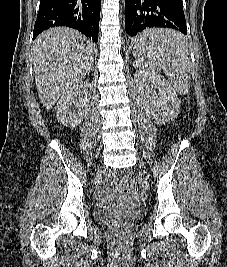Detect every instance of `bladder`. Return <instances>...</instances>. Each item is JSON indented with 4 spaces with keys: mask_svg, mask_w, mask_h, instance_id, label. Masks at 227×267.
Listing matches in <instances>:
<instances>
[{
    "mask_svg": "<svg viewBox=\"0 0 227 267\" xmlns=\"http://www.w3.org/2000/svg\"><path fill=\"white\" fill-rule=\"evenodd\" d=\"M125 216V212L121 209L110 210V209H99L96 211V217L100 222H108L113 219H119Z\"/></svg>",
    "mask_w": 227,
    "mask_h": 267,
    "instance_id": "obj_1",
    "label": "bladder"
}]
</instances>
